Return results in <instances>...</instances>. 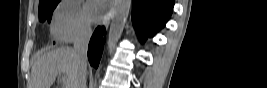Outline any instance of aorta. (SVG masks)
<instances>
[{
	"mask_svg": "<svg viewBox=\"0 0 267 88\" xmlns=\"http://www.w3.org/2000/svg\"><path fill=\"white\" fill-rule=\"evenodd\" d=\"M131 0H115L113 18L108 33V53L113 54L120 38L123 26L129 14Z\"/></svg>",
	"mask_w": 267,
	"mask_h": 88,
	"instance_id": "762f6f07",
	"label": "aorta"
}]
</instances>
